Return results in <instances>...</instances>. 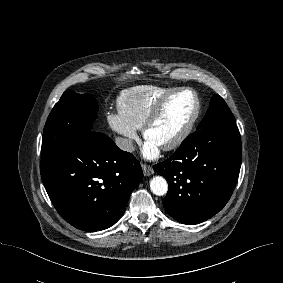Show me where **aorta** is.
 <instances>
[{"instance_id": "762f6f07", "label": "aorta", "mask_w": 283, "mask_h": 283, "mask_svg": "<svg viewBox=\"0 0 283 283\" xmlns=\"http://www.w3.org/2000/svg\"><path fill=\"white\" fill-rule=\"evenodd\" d=\"M150 189L157 196H163L168 191L167 181L161 176H155L150 181Z\"/></svg>"}]
</instances>
